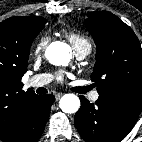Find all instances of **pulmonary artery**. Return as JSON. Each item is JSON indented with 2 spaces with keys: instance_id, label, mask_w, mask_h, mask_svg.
Segmentation results:
<instances>
[{
  "instance_id": "obj_1",
  "label": "pulmonary artery",
  "mask_w": 142,
  "mask_h": 142,
  "mask_svg": "<svg viewBox=\"0 0 142 142\" xmlns=\"http://www.w3.org/2000/svg\"><path fill=\"white\" fill-rule=\"evenodd\" d=\"M76 52V56L79 59H83L85 58L90 52L86 49H82V50H77ZM52 80V76L49 74H38V75H34L32 76L29 80H28V86L29 87H42L47 85L50 81ZM99 97V94L97 92H93L91 95V99L93 101H96Z\"/></svg>"
}]
</instances>
